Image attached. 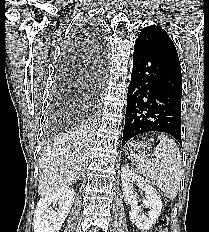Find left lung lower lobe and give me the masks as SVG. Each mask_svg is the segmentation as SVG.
Listing matches in <instances>:
<instances>
[{"label": "left lung lower lobe", "instance_id": "obj_1", "mask_svg": "<svg viewBox=\"0 0 209 232\" xmlns=\"http://www.w3.org/2000/svg\"><path fill=\"white\" fill-rule=\"evenodd\" d=\"M181 96L180 63L136 41L122 144L138 134L158 131L182 145Z\"/></svg>", "mask_w": 209, "mask_h": 232}]
</instances>
